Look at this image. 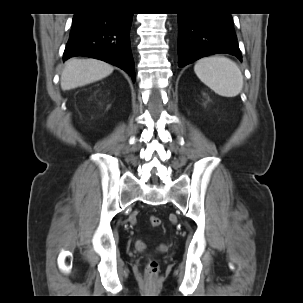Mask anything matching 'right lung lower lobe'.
<instances>
[{
	"mask_svg": "<svg viewBox=\"0 0 303 303\" xmlns=\"http://www.w3.org/2000/svg\"><path fill=\"white\" fill-rule=\"evenodd\" d=\"M133 14L94 8L74 15L63 59L87 56L103 60L126 71L135 81L130 48Z\"/></svg>",
	"mask_w": 303,
	"mask_h": 303,
	"instance_id": "1",
	"label": "right lung lower lobe"
}]
</instances>
